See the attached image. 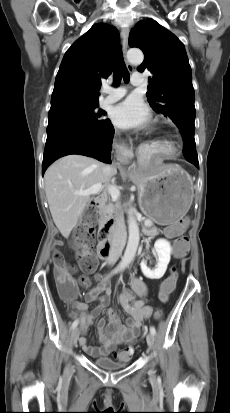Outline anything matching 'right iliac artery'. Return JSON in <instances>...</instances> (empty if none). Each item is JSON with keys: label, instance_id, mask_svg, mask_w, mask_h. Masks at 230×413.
<instances>
[{"label": "right iliac artery", "instance_id": "obj_1", "mask_svg": "<svg viewBox=\"0 0 230 413\" xmlns=\"http://www.w3.org/2000/svg\"><path fill=\"white\" fill-rule=\"evenodd\" d=\"M115 272L114 271H112L110 274H109V276H111V275H113ZM108 276V277H109ZM77 325H78V321L77 320H75L73 323H72V326H71V328L72 329H74V328H76L77 327Z\"/></svg>", "mask_w": 230, "mask_h": 413}]
</instances>
